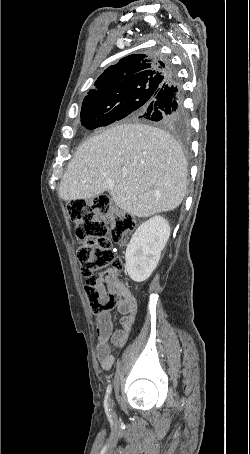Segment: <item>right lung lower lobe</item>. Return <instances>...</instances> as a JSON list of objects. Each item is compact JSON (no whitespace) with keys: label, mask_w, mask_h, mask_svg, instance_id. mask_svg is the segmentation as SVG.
<instances>
[{"label":"right lung lower lobe","mask_w":250,"mask_h":454,"mask_svg":"<svg viewBox=\"0 0 250 454\" xmlns=\"http://www.w3.org/2000/svg\"><path fill=\"white\" fill-rule=\"evenodd\" d=\"M170 74L154 99L138 118L155 121L171 129H183L187 125V116L183 106V90L177 74L167 62Z\"/></svg>","instance_id":"obj_1"}]
</instances>
